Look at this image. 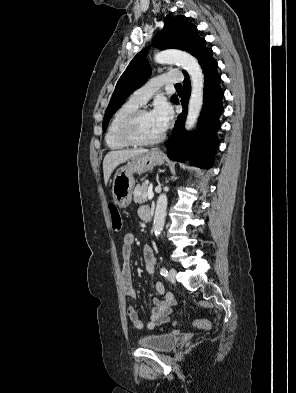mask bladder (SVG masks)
<instances>
[{
    "mask_svg": "<svg viewBox=\"0 0 296 393\" xmlns=\"http://www.w3.org/2000/svg\"><path fill=\"white\" fill-rule=\"evenodd\" d=\"M138 344L146 349L167 353L177 346L178 336L175 334L148 335L140 338Z\"/></svg>",
    "mask_w": 296,
    "mask_h": 393,
    "instance_id": "1",
    "label": "bladder"
}]
</instances>
